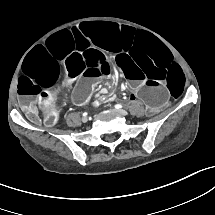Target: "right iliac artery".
Listing matches in <instances>:
<instances>
[{"label":"right iliac artery","instance_id":"1","mask_svg":"<svg viewBox=\"0 0 215 215\" xmlns=\"http://www.w3.org/2000/svg\"><path fill=\"white\" fill-rule=\"evenodd\" d=\"M86 115H87L86 113L83 114V116H86Z\"/></svg>","mask_w":215,"mask_h":215}]
</instances>
